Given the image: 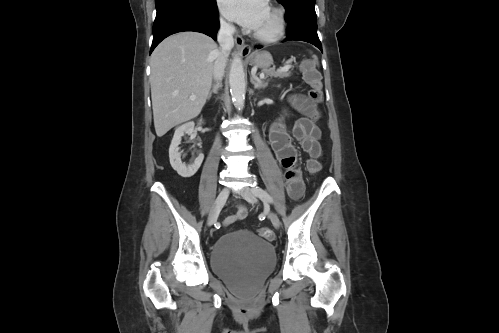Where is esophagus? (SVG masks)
<instances>
[{
    "mask_svg": "<svg viewBox=\"0 0 499 333\" xmlns=\"http://www.w3.org/2000/svg\"><path fill=\"white\" fill-rule=\"evenodd\" d=\"M234 38L236 46L239 49L241 55L247 56L251 51V47L245 43L244 39L240 34L236 33Z\"/></svg>",
    "mask_w": 499,
    "mask_h": 333,
    "instance_id": "obj_1",
    "label": "esophagus"
}]
</instances>
